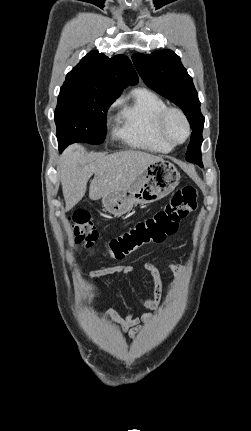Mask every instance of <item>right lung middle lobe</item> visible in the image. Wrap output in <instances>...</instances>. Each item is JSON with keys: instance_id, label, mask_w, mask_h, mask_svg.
Masks as SVG:
<instances>
[{"instance_id": "obj_1", "label": "right lung middle lobe", "mask_w": 251, "mask_h": 431, "mask_svg": "<svg viewBox=\"0 0 251 431\" xmlns=\"http://www.w3.org/2000/svg\"><path fill=\"white\" fill-rule=\"evenodd\" d=\"M116 98L98 91L62 86L54 117L59 149L74 142L102 143L106 113Z\"/></svg>"}]
</instances>
